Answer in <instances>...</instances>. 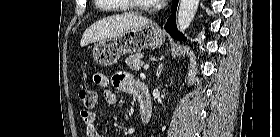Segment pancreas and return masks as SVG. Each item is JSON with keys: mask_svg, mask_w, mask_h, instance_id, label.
I'll return each instance as SVG.
<instances>
[{"mask_svg": "<svg viewBox=\"0 0 280 137\" xmlns=\"http://www.w3.org/2000/svg\"><path fill=\"white\" fill-rule=\"evenodd\" d=\"M142 58H143V54L137 53L126 58L125 62L132 71H137L143 65V62L141 61Z\"/></svg>", "mask_w": 280, "mask_h": 137, "instance_id": "cf45deb5", "label": "pancreas"}]
</instances>
